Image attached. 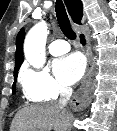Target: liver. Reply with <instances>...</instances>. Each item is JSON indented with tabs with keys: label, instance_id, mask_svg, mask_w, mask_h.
I'll use <instances>...</instances> for the list:
<instances>
[{
	"label": "liver",
	"instance_id": "6515ba94",
	"mask_svg": "<svg viewBox=\"0 0 117 131\" xmlns=\"http://www.w3.org/2000/svg\"><path fill=\"white\" fill-rule=\"evenodd\" d=\"M70 120L71 114L59 104L26 106L15 115L10 131H66Z\"/></svg>",
	"mask_w": 117,
	"mask_h": 131
}]
</instances>
